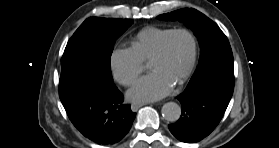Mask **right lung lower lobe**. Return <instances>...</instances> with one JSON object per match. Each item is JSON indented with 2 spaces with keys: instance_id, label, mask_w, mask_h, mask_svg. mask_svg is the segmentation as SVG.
Listing matches in <instances>:
<instances>
[{
  "instance_id": "obj_1",
  "label": "right lung lower lobe",
  "mask_w": 279,
  "mask_h": 148,
  "mask_svg": "<svg viewBox=\"0 0 279 148\" xmlns=\"http://www.w3.org/2000/svg\"><path fill=\"white\" fill-rule=\"evenodd\" d=\"M59 97L73 125L98 144H114L129 132L135 119L123 95L104 78L94 55L87 49H65Z\"/></svg>"
}]
</instances>
